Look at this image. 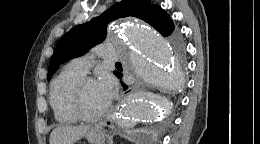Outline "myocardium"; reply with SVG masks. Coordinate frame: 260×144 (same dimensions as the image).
<instances>
[{"label": "myocardium", "mask_w": 260, "mask_h": 144, "mask_svg": "<svg viewBox=\"0 0 260 144\" xmlns=\"http://www.w3.org/2000/svg\"><path fill=\"white\" fill-rule=\"evenodd\" d=\"M97 82L96 79L89 77V76H83L81 77L73 86L70 97H69V102H68V106L70 111L73 113V115L77 118L80 119L82 121H86V122H94L99 120L100 118H102L105 113L108 110V105H106V107L101 110L100 112L96 113V114H88L86 113L82 106H81V96H82V91L84 89V87L87 84L90 83H95Z\"/></svg>", "instance_id": "1"}]
</instances>
